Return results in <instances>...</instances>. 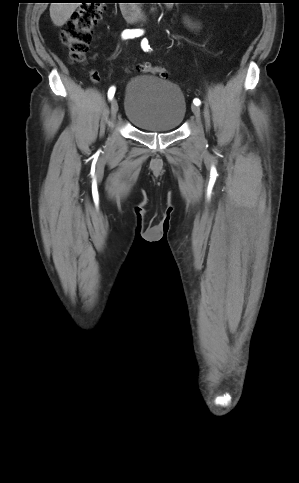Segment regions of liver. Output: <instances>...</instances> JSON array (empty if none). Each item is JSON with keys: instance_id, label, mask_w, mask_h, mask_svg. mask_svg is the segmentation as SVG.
I'll list each match as a JSON object with an SVG mask.
<instances>
[{"instance_id": "liver-1", "label": "liver", "mask_w": 299, "mask_h": 483, "mask_svg": "<svg viewBox=\"0 0 299 483\" xmlns=\"http://www.w3.org/2000/svg\"><path fill=\"white\" fill-rule=\"evenodd\" d=\"M80 3H51L50 17L53 23L61 27L71 17Z\"/></svg>"}]
</instances>
